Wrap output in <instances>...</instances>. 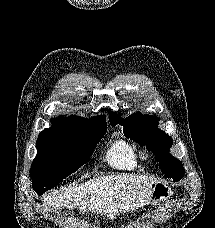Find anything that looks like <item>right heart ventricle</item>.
Wrapping results in <instances>:
<instances>
[{
    "label": "right heart ventricle",
    "mask_w": 215,
    "mask_h": 228,
    "mask_svg": "<svg viewBox=\"0 0 215 228\" xmlns=\"http://www.w3.org/2000/svg\"><path fill=\"white\" fill-rule=\"evenodd\" d=\"M138 159L137 148L124 138L113 139L105 151V160L111 167L118 170H135L138 166Z\"/></svg>",
    "instance_id": "obj_1"
}]
</instances>
